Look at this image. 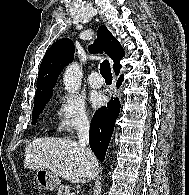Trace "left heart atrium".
Returning <instances> with one entry per match:
<instances>
[{"label":"left heart atrium","instance_id":"1","mask_svg":"<svg viewBox=\"0 0 189 195\" xmlns=\"http://www.w3.org/2000/svg\"><path fill=\"white\" fill-rule=\"evenodd\" d=\"M89 99L94 108L101 106L104 102L103 95L98 92L91 93Z\"/></svg>","mask_w":189,"mask_h":195}]
</instances>
